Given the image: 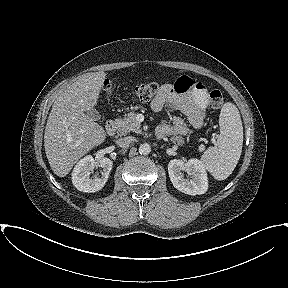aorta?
I'll return each instance as SVG.
<instances>
[{
    "label": "aorta",
    "mask_w": 288,
    "mask_h": 288,
    "mask_svg": "<svg viewBox=\"0 0 288 288\" xmlns=\"http://www.w3.org/2000/svg\"><path fill=\"white\" fill-rule=\"evenodd\" d=\"M151 152V146L148 143H143L139 146V153L148 155Z\"/></svg>",
    "instance_id": "aorta-1"
}]
</instances>
